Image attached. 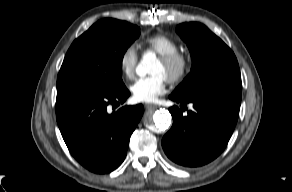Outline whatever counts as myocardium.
Instances as JSON below:
<instances>
[{"label": "myocardium", "mask_w": 292, "mask_h": 192, "mask_svg": "<svg viewBox=\"0 0 292 192\" xmlns=\"http://www.w3.org/2000/svg\"><path fill=\"white\" fill-rule=\"evenodd\" d=\"M159 60L166 66L168 71L166 78L172 84L181 82L190 71L191 59L184 53L162 55Z\"/></svg>", "instance_id": "1"}]
</instances>
